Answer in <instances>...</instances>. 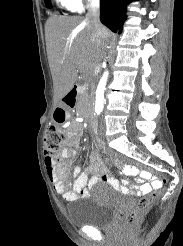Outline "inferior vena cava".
I'll use <instances>...</instances> for the list:
<instances>
[{"label": "inferior vena cava", "mask_w": 183, "mask_h": 246, "mask_svg": "<svg viewBox=\"0 0 183 246\" xmlns=\"http://www.w3.org/2000/svg\"><path fill=\"white\" fill-rule=\"evenodd\" d=\"M88 2L89 4L87 6L88 12L86 14V20L90 23L98 36L105 37V28L99 20L100 0H88Z\"/></svg>", "instance_id": "obj_1"}]
</instances>
